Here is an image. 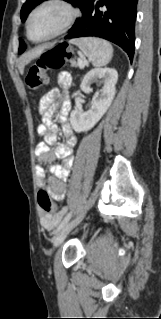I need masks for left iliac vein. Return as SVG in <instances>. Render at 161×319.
I'll return each mask as SVG.
<instances>
[{"label":"left iliac vein","mask_w":161,"mask_h":319,"mask_svg":"<svg viewBox=\"0 0 161 319\" xmlns=\"http://www.w3.org/2000/svg\"><path fill=\"white\" fill-rule=\"evenodd\" d=\"M82 218H83V215H80L74 220H72L70 223L66 224L54 237L53 246L54 247L59 246L64 241L66 236L71 232V230L80 223Z\"/></svg>","instance_id":"4c4485c4"}]
</instances>
